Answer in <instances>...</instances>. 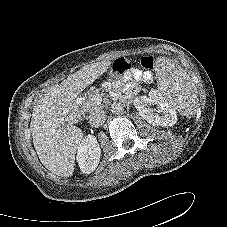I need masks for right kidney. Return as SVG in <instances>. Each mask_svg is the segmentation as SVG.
Instances as JSON below:
<instances>
[{"mask_svg": "<svg viewBox=\"0 0 227 227\" xmlns=\"http://www.w3.org/2000/svg\"><path fill=\"white\" fill-rule=\"evenodd\" d=\"M101 149L93 135L85 136L77 150V162L83 173L90 174L99 164Z\"/></svg>", "mask_w": 227, "mask_h": 227, "instance_id": "obj_1", "label": "right kidney"}]
</instances>
